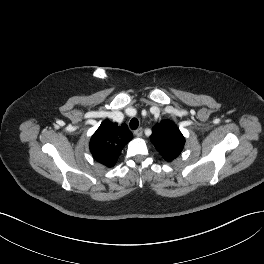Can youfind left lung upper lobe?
Instances as JSON below:
<instances>
[{
    "mask_svg": "<svg viewBox=\"0 0 264 264\" xmlns=\"http://www.w3.org/2000/svg\"><path fill=\"white\" fill-rule=\"evenodd\" d=\"M151 141L162 157L170 162L183 150L185 138L171 121H162L152 129Z\"/></svg>",
    "mask_w": 264,
    "mask_h": 264,
    "instance_id": "obj_1",
    "label": "left lung upper lobe"
}]
</instances>
